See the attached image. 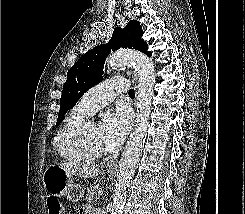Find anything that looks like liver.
<instances>
[{"instance_id":"6515ba94","label":"liver","mask_w":245,"mask_h":214,"mask_svg":"<svg viewBox=\"0 0 245 214\" xmlns=\"http://www.w3.org/2000/svg\"><path fill=\"white\" fill-rule=\"evenodd\" d=\"M58 166L66 172H69L79 177H95L100 173V170L96 167H78L71 163H61L58 164Z\"/></svg>"}]
</instances>
